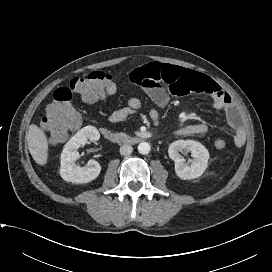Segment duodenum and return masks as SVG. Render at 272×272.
Masks as SVG:
<instances>
[{"label": "duodenum", "instance_id": "duodenum-1", "mask_svg": "<svg viewBox=\"0 0 272 272\" xmlns=\"http://www.w3.org/2000/svg\"><path fill=\"white\" fill-rule=\"evenodd\" d=\"M102 136L113 143L137 144L144 140L141 136L122 135L107 128H100Z\"/></svg>", "mask_w": 272, "mask_h": 272}]
</instances>
